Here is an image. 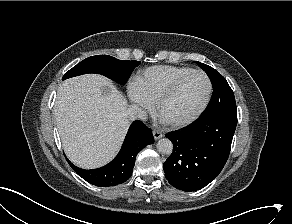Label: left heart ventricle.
Segmentation results:
<instances>
[{
	"label": "left heart ventricle",
	"mask_w": 292,
	"mask_h": 224,
	"mask_svg": "<svg viewBox=\"0 0 292 224\" xmlns=\"http://www.w3.org/2000/svg\"><path fill=\"white\" fill-rule=\"evenodd\" d=\"M207 89L208 84L204 76L191 77L172 98L163 104L160 117L165 122H175L190 117L203 103Z\"/></svg>",
	"instance_id": "left-heart-ventricle-1"
}]
</instances>
